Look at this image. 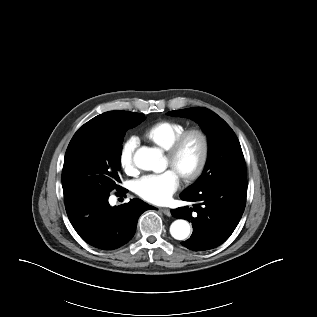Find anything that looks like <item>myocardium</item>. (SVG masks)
Instances as JSON below:
<instances>
[{
    "instance_id": "obj_1",
    "label": "myocardium",
    "mask_w": 317,
    "mask_h": 317,
    "mask_svg": "<svg viewBox=\"0 0 317 317\" xmlns=\"http://www.w3.org/2000/svg\"><path fill=\"white\" fill-rule=\"evenodd\" d=\"M193 137L197 138L200 144L199 157L195 165L190 170L182 171L181 173H179L180 176L187 181L196 179L205 168L210 149L208 135L205 131L199 128L187 129L174 141L171 147L167 150V157L171 163V166L174 168L186 143L189 141V139Z\"/></svg>"
}]
</instances>
